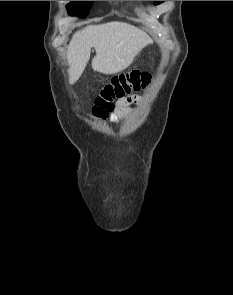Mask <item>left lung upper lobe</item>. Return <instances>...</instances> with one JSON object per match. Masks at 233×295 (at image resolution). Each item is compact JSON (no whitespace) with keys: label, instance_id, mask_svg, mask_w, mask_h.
<instances>
[{"label":"left lung upper lobe","instance_id":"obj_1","mask_svg":"<svg viewBox=\"0 0 233 295\" xmlns=\"http://www.w3.org/2000/svg\"><path fill=\"white\" fill-rule=\"evenodd\" d=\"M162 2H164V1H154V4L157 5V4H160Z\"/></svg>","mask_w":233,"mask_h":295}]
</instances>
